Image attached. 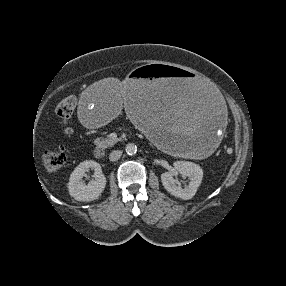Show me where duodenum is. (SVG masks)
<instances>
[{"instance_id": "obj_1", "label": "duodenum", "mask_w": 286, "mask_h": 286, "mask_svg": "<svg viewBox=\"0 0 286 286\" xmlns=\"http://www.w3.org/2000/svg\"><path fill=\"white\" fill-rule=\"evenodd\" d=\"M94 156H95L96 158H98V159H101V158H103V156H104V152H103L101 149L97 148V149L94 151Z\"/></svg>"}]
</instances>
